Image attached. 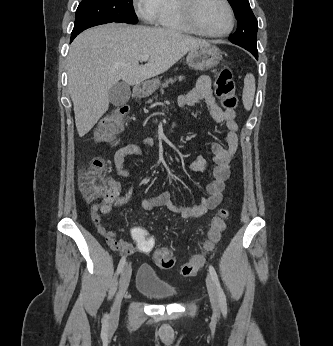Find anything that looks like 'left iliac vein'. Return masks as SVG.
I'll use <instances>...</instances> for the list:
<instances>
[{"label":"left iliac vein","instance_id":"4c4485c4","mask_svg":"<svg viewBox=\"0 0 333 346\" xmlns=\"http://www.w3.org/2000/svg\"><path fill=\"white\" fill-rule=\"evenodd\" d=\"M206 286H207V291H208L211 306H212L214 312L218 313L219 312L218 293H217L216 287H215V285L212 282L210 277H207V279H206Z\"/></svg>","mask_w":333,"mask_h":346}]
</instances>
